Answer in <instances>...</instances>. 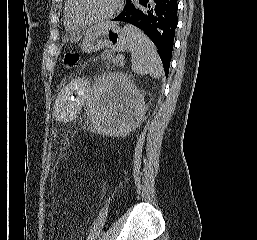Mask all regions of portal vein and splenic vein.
<instances>
[{
    "label": "portal vein and splenic vein",
    "mask_w": 257,
    "mask_h": 240,
    "mask_svg": "<svg viewBox=\"0 0 257 240\" xmlns=\"http://www.w3.org/2000/svg\"><path fill=\"white\" fill-rule=\"evenodd\" d=\"M123 57L122 56H120V57H118V60H121L122 62H121V65H123L122 63H123Z\"/></svg>",
    "instance_id": "obj_1"
}]
</instances>
